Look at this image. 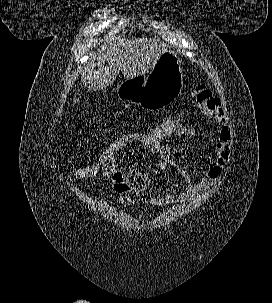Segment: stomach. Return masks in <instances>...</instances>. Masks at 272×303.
Returning a JSON list of instances; mask_svg holds the SVG:
<instances>
[{"label": "stomach", "mask_w": 272, "mask_h": 303, "mask_svg": "<svg viewBox=\"0 0 272 303\" xmlns=\"http://www.w3.org/2000/svg\"><path fill=\"white\" fill-rule=\"evenodd\" d=\"M183 89L181 61L168 49L147 75L126 79L117 88L120 98L145 109H156L175 100Z\"/></svg>", "instance_id": "stomach-1"}]
</instances>
